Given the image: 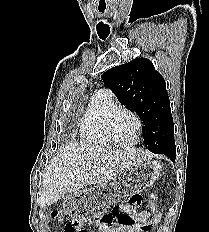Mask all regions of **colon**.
Segmentation results:
<instances>
[{
    "mask_svg": "<svg viewBox=\"0 0 209 232\" xmlns=\"http://www.w3.org/2000/svg\"><path fill=\"white\" fill-rule=\"evenodd\" d=\"M154 200H156V197H154ZM57 215V212L53 213V216L56 217ZM88 217V221L90 222H98L109 227L114 226L115 224L122 227H132L135 225V220L132 213H126L125 207L123 209L120 207H115L110 212L103 214L99 212H96L95 214H88ZM82 227L83 221H75L72 219L65 224V232H85Z\"/></svg>",
    "mask_w": 209,
    "mask_h": 232,
    "instance_id": "5ec220e1",
    "label": "colon"
}]
</instances>
